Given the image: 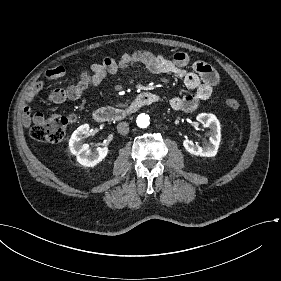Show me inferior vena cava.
<instances>
[{"mask_svg": "<svg viewBox=\"0 0 281 281\" xmlns=\"http://www.w3.org/2000/svg\"><path fill=\"white\" fill-rule=\"evenodd\" d=\"M117 131L121 135H126L129 131V124L128 122H120L117 125Z\"/></svg>", "mask_w": 281, "mask_h": 281, "instance_id": "1", "label": "inferior vena cava"}]
</instances>
